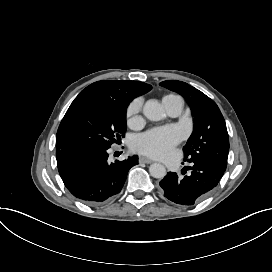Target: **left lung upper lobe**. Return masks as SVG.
I'll return each mask as SVG.
<instances>
[{
	"label": "left lung upper lobe",
	"mask_w": 272,
	"mask_h": 272,
	"mask_svg": "<svg viewBox=\"0 0 272 272\" xmlns=\"http://www.w3.org/2000/svg\"><path fill=\"white\" fill-rule=\"evenodd\" d=\"M161 86L182 95L194 115V130L183 150L185 161H200L226 170L229 137L225 120L216 103L187 83L168 80Z\"/></svg>",
	"instance_id": "1"
}]
</instances>
